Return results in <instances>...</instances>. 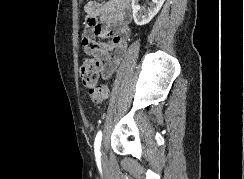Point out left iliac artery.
Returning a JSON list of instances; mask_svg holds the SVG:
<instances>
[{"instance_id":"1","label":"left iliac artery","mask_w":244,"mask_h":179,"mask_svg":"<svg viewBox=\"0 0 244 179\" xmlns=\"http://www.w3.org/2000/svg\"><path fill=\"white\" fill-rule=\"evenodd\" d=\"M101 140H102V132L99 131L96 135L95 142H94V148H95V155L100 156V147H101Z\"/></svg>"}]
</instances>
